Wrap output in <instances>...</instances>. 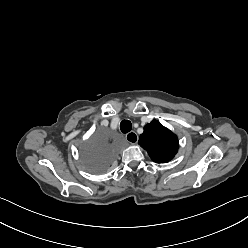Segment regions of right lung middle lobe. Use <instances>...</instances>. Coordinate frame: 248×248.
I'll return each mask as SVG.
<instances>
[{"label": "right lung middle lobe", "mask_w": 248, "mask_h": 248, "mask_svg": "<svg viewBox=\"0 0 248 248\" xmlns=\"http://www.w3.org/2000/svg\"><path fill=\"white\" fill-rule=\"evenodd\" d=\"M81 154L85 162V169L92 173H100L107 169L110 151L101 142L94 141L81 147Z\"/></svg>", "instance_id": "right-lung-middle-lobe-1"}]
</instances>
